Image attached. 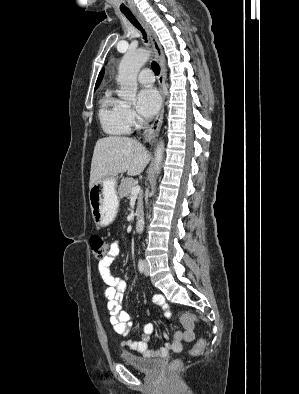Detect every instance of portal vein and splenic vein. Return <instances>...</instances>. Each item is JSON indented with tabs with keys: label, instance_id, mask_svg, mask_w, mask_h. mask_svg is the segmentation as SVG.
<instances>
[{
	"label": "portal vein and splenic vein",
	"instance_id": "18ae733b",
	"mask_svg": "<svg viewBox=\"0 0 299 394\" xmlns=\"http://www.w3.org/2000/svg\"><path fill=\"white\" fill-rule=\"evenodd\" d=\"M141 191V187L139 185L134 186L133 188H131L130 190V194L131 196H137Z\"/></svg>",
	"mask_w": 299,
	"mask_h": 394
}]
</instances>
